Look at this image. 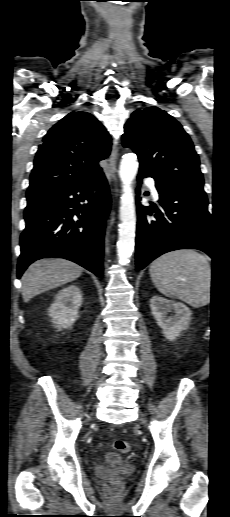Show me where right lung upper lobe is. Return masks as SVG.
<instances>
[{
  "instance_id": "obj_1",
  "label": "right lung upper lobe",
  "mask_w": 230,
  "mask_h": 517,
  "mask_svg": "<svg viewBox=\"0 0 230 517\" xmlns=\"http://www.w3.org/2000/svg\"><path fill=\"white\" fill-rule=\"evenodd\" d=\"M111 138L90 113L71 112L43 138L34 160L27 196L71 187L102 172L99 161L110 154Z\"/></svg>"
}]
</instances>
